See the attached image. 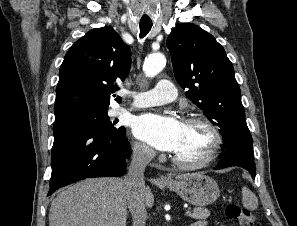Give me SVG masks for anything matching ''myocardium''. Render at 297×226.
<instances>
[{"instance_id": "obj_1", "label": "myocardium", "mask_w": 297, "mask_h": 226, "mask_svg": "<svg viewBox=\"0 0 297 226\" xmlns=\"http://www.w3.org/2000/svg\"><path fill=\"white\" fill-rule=\"evenodd\" d=\"M184 124L198 123L203 125L212 135V142L207 153L200 159L194 161H187L180 159L176 155H172V161L179 167L187 169H198L205 167L212 163L217 157L222 144L223 137L218 127L206 116L192 115L184 119Z\"/></svg>"}]
</instances>
